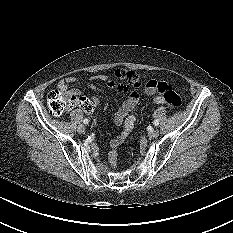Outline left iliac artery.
Segmentation results:
<instances>
[{
  "instance_id": "1",
  "label": "left iliac artery",
  "mask_w": 233,
  "mask_h": 233,
  "mask_svg": "<svg viewBox=\"0 0 233 233\" xmlns=\"http://www.w3.org/2000/svg\"><path fill=\"white\" fill-rule=\"evenodd\" d=\"M153 124H154V126H158V124H159L158 120H154Z\"/></svg>"
}]
</instances>
